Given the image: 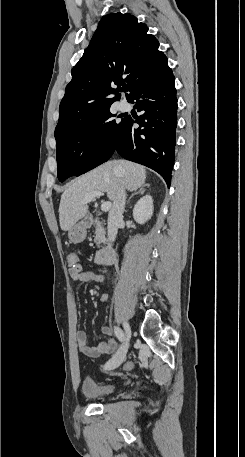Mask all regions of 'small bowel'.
I'll list each match as a JSON object with an SVG mask.
<instances>
[{
  "label": "small bowel",
  "instance_id": "1",
  "mask_svg": "<svg viewBox=\"0 0 245 457\" xmlns=\"http://www.w3.org/2000/svg\"><path fill=\"white\" fill-rule=\"evenodd\" d=\"M69 275L72 279L80 282H101L103 276L100 273L93 271H83L80 267L78 269H69ZM109 293H103L100 296L101 302H106L109 299ZM102 332L106 336L111 335V330L108 327H104ZM76 341L78 349L81 353L88 357L96 358L105 354H112L117 349V343L113 338H108L102 341L98 346L92 347L87 343V335L84 331H78L76 334Z\"/></svg>",
  "mask_w": 245,
  "mask_h": 457
}]
</instances>
